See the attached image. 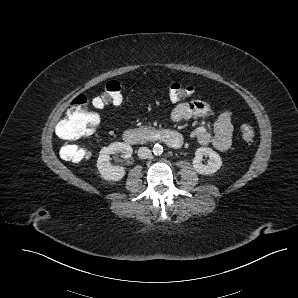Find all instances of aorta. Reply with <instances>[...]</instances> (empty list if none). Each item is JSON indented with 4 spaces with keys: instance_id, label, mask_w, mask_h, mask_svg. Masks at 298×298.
Masks as SVG:
<instances>
[{
    "instance_id": "obj_1",
    "label": "aorta",
    "mask_w": 298,
    "mask_h": 298,
    "mask_svg": "<svg viewBox=\"0 0 298 298\" xmlns=\"http://www.w3.org/2000/svg\"><path fill=\"white\" fill-rule=\"evenodd\" d=\"M152 151L155 155H160L163 152V147L159 143H156L153 146Z\"/></svg>"
}]
</instances>
